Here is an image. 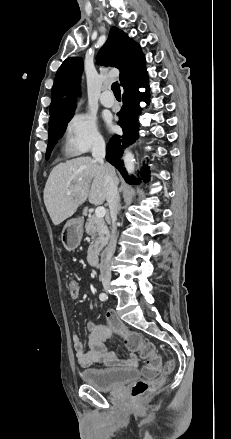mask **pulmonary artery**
<instances>
[{"label":"pulmonary artery","instance_id":"e3ab8cb5","mask_svg":"<svg viewBox=\"0 0 231 439\" xmlns=\"http://www.w3.org/2000/svg\"><path fill=\"white\" fill-rule=\"evenodd\" d=\"M100 102L105 107L114 106L115 104L114 98L108 89H105L104 92L101 94Z\"/></svg>","mask_w":231,"mask_h":439}]
</instances>
